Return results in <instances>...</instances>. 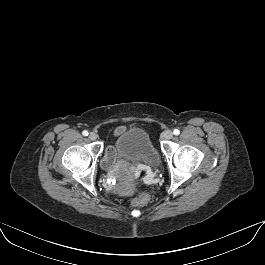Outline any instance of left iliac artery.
Segmentation results:
<instances>
[{"label":"left iliac artery","mask_w":265,"mask_h":265,"mask_svg":"<svg viewBox=\"0 0 265 265\" xmlns=\"http://www.w3.org/2000/svg\"><path fill=\"white\" fill-rule=\"evenodd\" d=\"M173 134L174 135H179L180 134V131L178 129H174Z\"/></svg>","instance_id":"obj_1"}]
</instances>
